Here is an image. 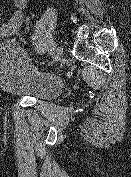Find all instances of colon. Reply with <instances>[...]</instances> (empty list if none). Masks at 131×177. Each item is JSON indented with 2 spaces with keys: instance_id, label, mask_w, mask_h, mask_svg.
I'll return each instance as SVG.
<instances>
[{
  "instance_id": "colon-1",
  "label": "colon",
  "mask_w": 131,
  "mask_h": 177,
  "mask_svg": "<svg viewBox=\"0 0 131 177\" xmlns=\"http://www.w3.org/2000/svg\"><path fill=\"white\" fill-rule=\"evenodd\" d=\"M14 36L17 37V38H19L21 41L24 42V37L21 34V29L15 28L14 29Z\"/></svg>"
}]
</instances>
